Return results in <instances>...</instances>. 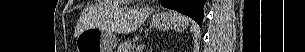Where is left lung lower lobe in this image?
I'll use <instances>...</instances> for the list:
<instances>
[{
	"mask_svg": "<svg viewBox=\"0 0 305 52\" xmlns=\"http://www.w3.org/2000/svg\"><path fill=\"white\" fill-rule=\"evenodd\" d=\"M206 0H161L164 7L181 12L202 26L203 7Z\"/></svg>",
	"mask_w": 305,
	"mask_h": 52,
	"instance_id": "left-lung-lower-lobe-1",
	"label": "left lung lower lobe"
}]
</instances>
